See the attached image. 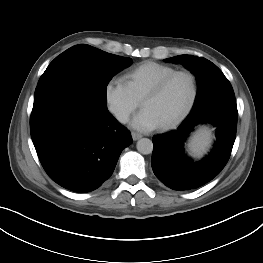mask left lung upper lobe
Segmentation results:
<instances>
[{
  "label": "left lung upper lobe",
  "instance_id": "1",
  "mask_svg": "<svg viewBox=\"0 0 263 263\" xmlns=\"http://www.w3.org/2000/svg\"><path fill=\"white\" fill-rule=\"evenodd\" d=\"M166 61L183 64L197 77L198 92L192 110L215 98L235 97L230 82L211 61L191 55L175 56Z\"/></svg>",
  "mask_w": 263,
  "mask_h": 263
}]
</instances>
